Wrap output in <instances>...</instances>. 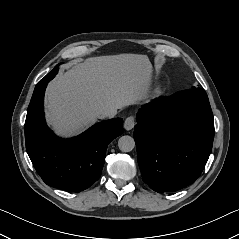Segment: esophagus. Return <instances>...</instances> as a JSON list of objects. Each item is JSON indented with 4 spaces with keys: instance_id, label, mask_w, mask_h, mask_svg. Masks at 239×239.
I'll use <instances>...</instances> for the list:
<instances>
[{
    "instance_id": "34e87169",
    "label": "esophagus",
    "mask_w": 239,
    "mask_h": 239,
    "mask_svg": "<svg viewBox=\"0 0 239 239\" xmlns=\"http://www.w3.org/2000/svg\"><path fill=\"white\" fill-rule=\"evenodd\" d=\"M135 125V119H134V116H129L125 119V122H124V128L125 130L129 131L131 130Z\"/></svg>"
}]
</instances>
